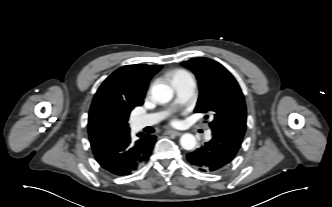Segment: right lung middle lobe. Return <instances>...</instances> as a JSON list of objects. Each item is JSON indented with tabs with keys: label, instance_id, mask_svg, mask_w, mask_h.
<instances>
[{
	"label": "right lung middle lobe",
	"instance_id": "1",
	"mask_svg": "<svg viewBox=\"0 0 332 207\" xmlns=\"http://www.w3.org/2000/svg\"><path fill=\"white\" fill-rule=\"evenodd\" d=\"M131 110H132V109H129V110L127 111L126 122H127V120H128V116H129V113H130ZM126 126H128V123H126Z\"/></svg>",
	"mask_w": 332,
	"mask_h": 207
}]
</instances>
